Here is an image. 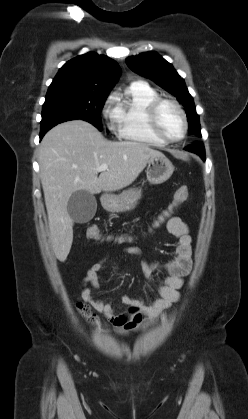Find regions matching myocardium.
Returning a JSON list of instances; mask_svg holds the SVG:
<instances>
[{"label":"myocardium","instance_id":"myocardium-1","mask_svg":"<svg viewBox=\"0 0 248 419\" xmlns=\"http://www.w3.org/2000/svg\"><path fill=\"white\" fill-rule=\"evenodd\" d=\"M164 103H168L172 105L181 116V119L183 122V131H182L181 136L176 139H171V138L166 137L159 128L158 120H157V113L160 106ZM146 120H147V125L150 132L156 138H158L159 140H161L162 142L166 144H172V143H177V142L182 141L188 132V120H187L185 111L183 110L181 105L173 99L157 97L156 99L152 100L146 109Z\"/></svg>","mask_w":248,"mask_h":419}]
</instances>
